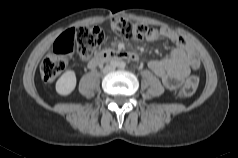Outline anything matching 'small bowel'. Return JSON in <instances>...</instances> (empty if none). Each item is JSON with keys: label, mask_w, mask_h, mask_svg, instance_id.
<instances>
[{"label": "small bowel", "mask_w": 238, "mask_h": 158, "mask_svg": "<svg viewBox=\"0 0 238 158\" xmlns=\"http://www.w3.org/2000/svg\"><path fill=\"white\" fill-rule=\"evenodd\" d=\"M160 38L171 41L175 44V48L168 57L149 61L148 67L167 89L175 90L189 75L192 66L198 64V58L192 46L170 29H154L153 34L147 37L150 41Z\"/></svg>", "instance_id": "obj_1"}]
</instances>
